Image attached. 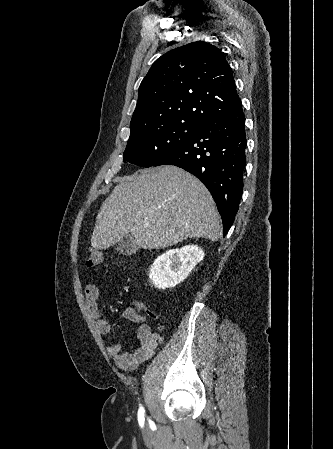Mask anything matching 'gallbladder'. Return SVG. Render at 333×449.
I'll return each instance as SVG.
<instances>
[{"instance_id": "obj_1", "label": "gallbladder", "mask_w": 333, "mask_h": 449, "mask_svg": "<svg viewBox=\"0 0 333 449\" xmlns=\"http://www.w3.org/2000/svg\"><path fill=\"white\" fill-rule=\"evenodd\" d=\"M116 250L123 255H132L137 252L138 246L131 236H127L117 244Z\"/></svg>"}]
</instances>
